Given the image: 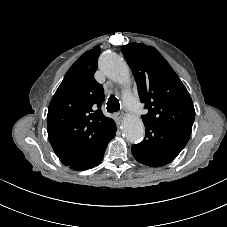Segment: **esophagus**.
Segmentation results:
<instances>
[{"instance_id":"1","label":"esophagus","mask_w":227,"mask_h":227,"mask_svg":"<svg viewBox=\"0 0 227 227\" xmlns=\"http://www.w3.org/2000/svg\"><path fill=\"white\" fill-rule=\"evenodd\" d=\"M115 118L118 122H120L123 118V113H116L115 114Z\"/></svg>"}]
</instances>
